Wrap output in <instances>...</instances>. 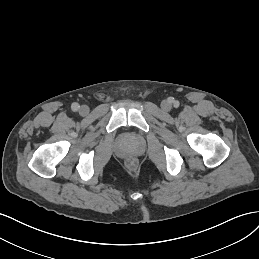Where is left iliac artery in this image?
Segmentation results:
<instances>
[{"label":"left iliac artery","instance_id":"left-iliac-artery-1","mask_svg":"<svg viewBox=\"0 0 259 259\" xmlns=\"http://www.w3.org/2000/svg\"><path fill=\"white\" fill-rule=\"evenodd\" d=\"M174 106H175V107H178V106H179V102H178V101L175 102V103H174Z\"/></svg>","mask_w":259,"mask_h":259}]
</instances>
